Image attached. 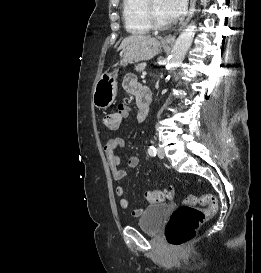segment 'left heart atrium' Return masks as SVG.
<instances>
[{"label":"left heart atrium","mask_w":261,"mask_h":273,"mask_svg":"<svg viewBox=\"0 0 261 273\" xmlns=\"http://www.w3.org/2000/svg\"><path fill=\"white\" fill-rule=\"evenodd\" d=\"M187 0H164V8L170 22L180 19L186 11Z\"/></svg>","instance_id":"39dd6f15"}]
</instances>
